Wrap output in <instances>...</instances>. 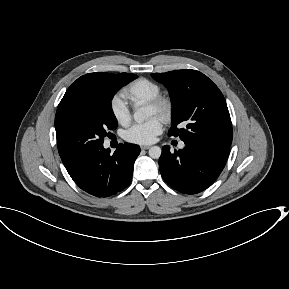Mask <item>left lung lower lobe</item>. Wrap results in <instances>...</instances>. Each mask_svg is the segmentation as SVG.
Here are the masks:
<instances>
[{
    "instance_id": "0a47b994",
    "label": "left lung lower lobe",
    "mask_w": 289,
    "mask_h": 289,
    "mask_svg": "<svg viewBox=\"0 0 289 289\" xmlns=\"http://www.w3.org/2000/svg\"><path fill=\"white\" fill-rule=\"evenodd\" d=\"M185 147L170 151L162 149L159 169L165 182L184 194H196L207 189L222 172L230 145L202 140L184 141Z\"/></svg>"
}]
</instances>
